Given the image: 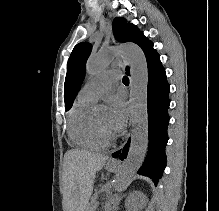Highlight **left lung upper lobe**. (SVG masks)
Returning a JSON list of instances; mask_svg holds the SVG:
<instances>
[{"label": "left lung upper lobe", "mask_w": 219, "mask_h": 211, "mask_svg": "<svg viewBox=\"0 0 219 211\" xmlns=\"http://www.w3.org/2000/svg\"><path fill=\"white\" fill-rule=\"evenodd\" d=\"M113 32L116 40L119 42H134L139 45L145 56L155 51L153 43L148 40L135 25L127 24L123 18H115L113 21ZM92 46L89 43L83 42L77 44L67 63V74L64 84L66 110H69L78 93L82 81L85 76V64L91 53ZM129 72V68H126Z\"/></svg>", "instance_id": "1"}]
</instances>
